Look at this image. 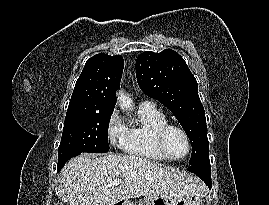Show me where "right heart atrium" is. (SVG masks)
Returning <instances> with one entry per match:
<instances>
[{"mask_svg":"<svg viewBox=\"0 0 269 205\" xmlns=\"http://www.w3.org/2000/svg\"><path fill=\"white\" fill-rule=\"evenodd\" d=\"M106 133L113 146H124L127 139V128L116 111H113L107 120Z\"/></svg>","mask_w":269,"mask_h":205,"instance_id":"right-heart-atrium-1","label":"right heart atrium"}]
</instances>
